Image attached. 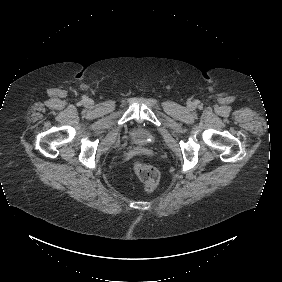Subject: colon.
Instances as JSON below:
<instances>
[{
    "label": "colon",
    "instance_id": "obj_1",
    "mask_svg": "<svg viewBox=\"0 0 282 282\" xmlns=\"http://www.w3.org/2000/svg\"><path fill=\"white\" fill-rule=\"evenodd\" d=\"M131 166L143 182L146 190H153L159 182L158 171L153 166L146 165L145 159L141 156L134 157Z\"/></svg>",
    "mask_w": 282,
    "mask_h": 282
}]
</instances>
